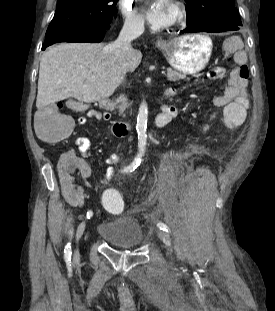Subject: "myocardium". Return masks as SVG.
Masks as SVG:
<instances>
[{
    "mask_svg": "<svg viewBox=\"0 0 275 311\" xmlns=\"http://www.w3.org/2000/svg\"><path fill=\"white\" fill-rule=\"evenodd\" d=\"M175 10H176V15L171 22L170 26H180L184 24L186 17H187V11L185 6L180 2V1H175L173 3Z\"/></svg>",
    "mask_w": 275,
    "mask_h": 311,
    "instance_id": "obj_1",
    "label": "myocardium"
}]
</instances>
